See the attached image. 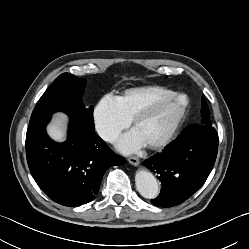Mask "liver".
<instances>
[{"mask_svg": "<svg viewBox=\"0 0 249 249\" xmlns=\"http://www.w3.org/2000/svg\"><path fill=\"white\" fill-rule=\"evenodd\" d=\"M67 116L59 113L58 116L47 126L48 135L55 141L62 142L65 140V123Z\"/></svg>", "mask_w": 249, "mask_h": 249, "instance_id": "1", "label": "liver"}]
</instances>
